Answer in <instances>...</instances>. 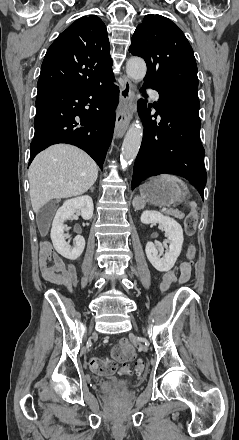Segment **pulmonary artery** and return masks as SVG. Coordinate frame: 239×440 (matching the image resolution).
Listing matches in <instances>:
<instances>
[{"instance_id": "pulmonary-artery-1", "label": "pulmonary artery", "mask_w": 239, "mask_h": 440, "mask_svg": "<svg viewBox=\"0 0 239 440\" xmlns=\"http://www.w3.org/2000/svg\"><path fill=\"white\" fill-rule=\"evenodd\" d=\"M152 97H153V99H154L155 101L158 102V100H159V95H158L157 92H153V93H152Z\"/></svg>"}]
</instances>
